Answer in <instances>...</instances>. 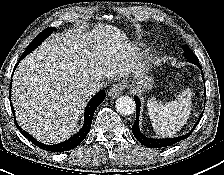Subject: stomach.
Here are the masks:
<instances>
[{"mask_svg":"<svg viewBox=\"0 0 224 175\" xmlns=\"http://www.w3.org/2000/svg\"><path fill=\"white\" fill-rule=\"evenodd\" d=\"M154 79L148 75L146 67H141V72L138 76L137 82L134 84V87L139 91H147L152 89Z\"/></svg>","mask_w":224,"mask_h":175,"instance_id":"0dacf381","label":"stomach"}]
</instances>
